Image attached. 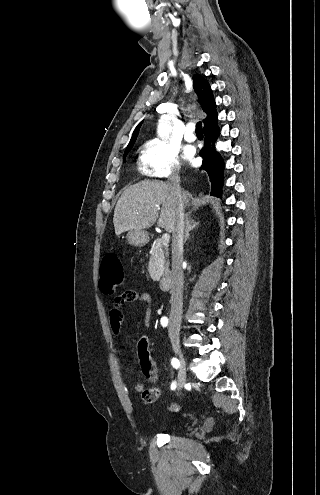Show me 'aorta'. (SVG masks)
<instances>
[{
  "mask_svg": "<svg viewBox=\"0 0 320 495\" xmlns=\"http://www.w3.org/2000/svg\"><path fill=\"white\" fill-rule=\"evenodd\" d=\"M172 130L171 117L169 115H163L158 121L157 133L161 138L169 136Z\"/></svg>",
  "mask_w": 320,
  "mask_h": 495,
  "instance_id": "1",
  "label": "aorta"
}]
</instances>
